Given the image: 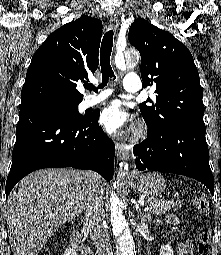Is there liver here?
I'll list each match as a JSON object with an SVG mask.
<instances>
[{
  "instance_id": "liver-1",
  "label": "liver",
  "mask_w": 221,
  "mask_h": 255,
  "mask_svg": "<svg viewBox=\"0 0 221 255\" xmlns=\"http://www.w3.org/2000/svg\"><path fill=\"white\" fill-rule=\"evenodd\" d=\"M91 171L44 169L24 177L10 193L6 219L13 255H37L54 232L85 209ZM104 191V184L99 183Z\"/></svg>"
}]
</instances>
